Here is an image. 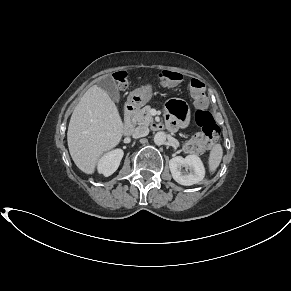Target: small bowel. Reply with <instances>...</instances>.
Masks as SVG:
<instances>
[{
  "instance_id": "c3829d8e",
  "label": "small bowel",
  "mask_w": 291,
  "mask_h": 291,
  "mask_svg": "<svg viewBox=\"0 0 291 291\" xmlns=\"http://www.w3.org/2000/svg\"><path fill=\"white\" fill-rule=\"evenodd\" d=\"M177 103L179 104L178 109H174L170 106V103L168 104V115L166 117V123L167 126L172 130H175L184 125L183 123L178 122L175 117H179L181 114L184 115L186 112V107L183 102L177 101Z\"/></svg>"
}]
</instances>
